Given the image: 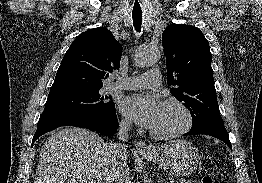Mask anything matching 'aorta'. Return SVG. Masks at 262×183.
<instances>
[{"label": "aorta", "mask_w": 262, "mask_h": 183, "mask_svg": "<svg viewBox=\"0 0 262 183\" xmlns=\"http://www.w3.org/2000/svg\"><path fill=\"white\" fill-rule=\"evenodd\" d=\"M158 48L144 46L135 53V64L138 67L145 68L154 65L160 59Z\"/></svg>", "instance_id": "1"}]
</instances>
